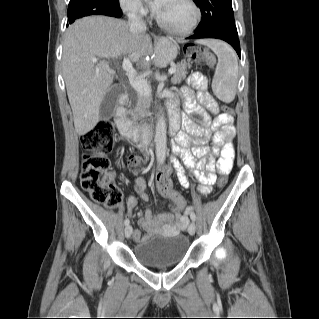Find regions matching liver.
<instances>
[{"label":"liver","mask_w":319,"mask_h":319,"mask_svg":"<svg viewBox=\"0 0 319 319\" xmlns=\"http://www.w3.org/2000/svg\"><path fill=\"white\" fill-rule=\"evenodd\" d=\"M151 52V37L144 33L137 37L131 33L128 23L119 19L92 16L69 26L63 43L62 68L79 135L97 125L101 102L113 87L115 71L104 59L123 55L137 61ZM155 53V63L160 65L156 49Z\"/></svg>","instance_id":"liver-1"}]
</instances>
